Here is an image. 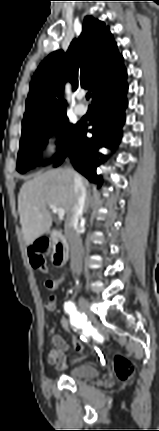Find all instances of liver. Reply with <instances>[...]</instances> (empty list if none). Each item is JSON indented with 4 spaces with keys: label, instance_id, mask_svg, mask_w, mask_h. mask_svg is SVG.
<instances>
[{
    "label": "liver",
    "instance_id": "obj_1",
    "mask_svg": "<svg viewBox=\"0 0 159 431\" xmlns=\"http://www.w3.org/2000/svg\"><path fill=\"white\" fill-rule=\"evenodd\" d=\"M81 179L85 186L89 185L87 180ZM75 202L72 171L54 169L26 181L18 195V212L26 245L50 229L52 218L47 209L50 204L65 210L67 222Z\"/></svg>",
    "mask_w": 159,
    "mask_h": 431
}]
</instances>
